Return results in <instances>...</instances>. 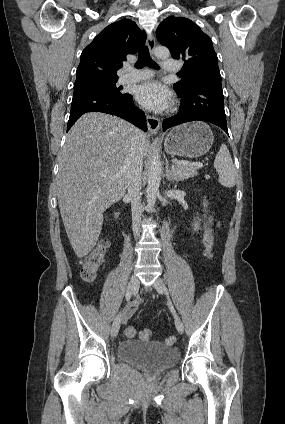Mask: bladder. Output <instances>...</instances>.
Listing matches in <instances>:
<instances>
[{"label": "bladder", "instance_id": "1", "mask_svg": "<svg viewBox=\"0 0 285 424\" xmlns=\"http://www.w3.org/2000/svg\"><path fill=\"white\" fill-rule=\"evenodd\" d=\"M121 361L150 372H161L173 366L178 352L158 341L124 340L118 346Z\"/></svg>", "mask_w": 285, "mask_h": 424}]
</instances>
